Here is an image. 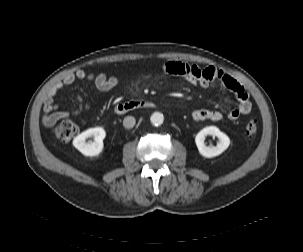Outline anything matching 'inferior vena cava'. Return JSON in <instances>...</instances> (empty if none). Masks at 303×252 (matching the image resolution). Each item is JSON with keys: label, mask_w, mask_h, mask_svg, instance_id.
I'll use <instances>...</instances> for the list:
<instances>
[{"label": "inferior vena cava", "mask_w": 303, "mask_h": 252, "mask_svg": "<svg viewBox=\"0 0 303 252\" xmlns=\"http://www.w3.org/2000/svg\"><path fill=\"white\" fill-rule=\"evenodd\" d=\"M123 125L125 128H128V129L133 128L135 125V118L132 116L125 117L123 120Z\"/></svg>", "instance_id": "602c4592"}]
</instances>
